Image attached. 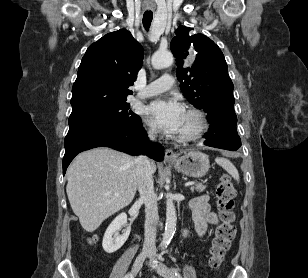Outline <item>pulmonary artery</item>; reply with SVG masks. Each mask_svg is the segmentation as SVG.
<instances>
[{"label":"pulmonary artery","instance_id":"e3ab8cb5","mask_svg":"<svg viewBox=\"0 0 308 278\" xmlns=\"http://www.w3.org/2000/svg\"><path fill=\"white\" fill-rule=\"evenodd\" d=\"M173 77L170 75H163L156 81L147 85L141 92L137 95V98L144 99L156 96L162 92H165L172 88L173 86Z\"/></svg>","mask_w":308,"mask_h":278}]
</instances>
